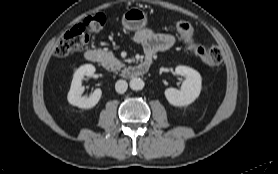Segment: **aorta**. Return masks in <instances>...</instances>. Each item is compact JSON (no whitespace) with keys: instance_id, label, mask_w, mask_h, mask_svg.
<instances>
[{"instance_id":"aorta-1","label":"aorta","mask_w":278,"mask_h":174,"mask_svg":"<svg viewBox=\"0 0 278 174\" xmlns=\"http://www.w3.org/2000/svg\"><path fill=\"white\" fill-rule=\"evenodd\" d=\"M129 86L134 91L142 90L144 87V81L141 78H132Z\"/></svg>"}]
</instances>
